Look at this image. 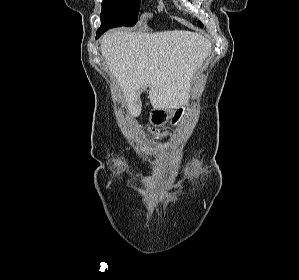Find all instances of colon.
<instances>
[{"label":"colon","instance_id":"1","mask_svg":"<svg viewBox=\"0 0 299 280\" xmlns=\"http://www.w3.org/2000/svg\"><path fill=\"white\" fill-rule=\"evenodd\" d=\"M154 136H156L155 138H159V134L158 133H154Z\"/></svg>","mask_w":299,"mask_h":280}]
</instances>
